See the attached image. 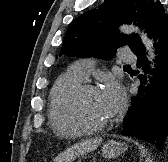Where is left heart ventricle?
<instances>
[{
	"mask_svg": "<svg viewBox=\"0 0 168 162\" xmlns=\"http://www.w3.org/2000/svg\"><path fill=\"white\" fill-rule=\"evenodd\" d=\"M80 111L91 124L104 123L110 119L100 91L85 94L80 101Z\"/></svg>",
	"mask_w": 168,
	"mask_h": 162,
	"instance_id": "left-heart-ventricle-1",
	"label": "left heart ventricle"
}]
</instances>
